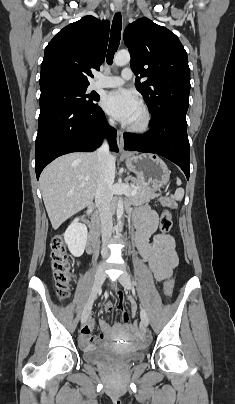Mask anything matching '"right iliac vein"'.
<instances>
[{
    "label": "right iliac vein",
    "instance_id": "obj_1",
    "mask_svg": "<svg viewBox=\"0 0 235 404\" xmlns=\"http://www.w3.org/2000/svg\"><path fill=\"white\" fill-rule=\"evenodd\" d=\"M106 274H105V267L104 264H101L99 266V268L97 269L96 275H95V280H94V284H93V289H92V293L89 297V300L84 308L83 314H82V318H81V325H85L88 319V315L92 309V305L94 302V299L99 291V289L101 288L104 280H105Z\"/></svg>",
    "mask_w": 235,
    "mask_h": 404
}]
</instances>
